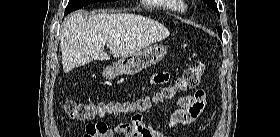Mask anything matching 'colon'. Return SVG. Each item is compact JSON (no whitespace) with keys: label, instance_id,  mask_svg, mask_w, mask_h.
<instances>
[{"label":"colon","instance_id":"colon-1","mask_svg":"<svg viewBox=\"0 0 280 137\" xmlns=\"http://www.w3.org/2000/svg\"><path fill=\"white\" fill-rule=\"evenodd\" d=\"M205 74L202 65H196L184 69L175 82L161 89L153 98H143L135 101L121 103L94 102V101H74L69 100L63 103L62 109L72 119L89 120L97 116L104 117L110 115H131L142 114L148 111L153 104L171 98L176 92L190 91L195 89ZM135 133H124L122 137H137Z\"/></svg>","mask_w":280,"mask_h":137}]
</instances>
